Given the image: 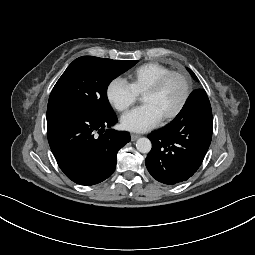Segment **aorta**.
<instances>
[{
    "instance_id": "obj_1",
    "label": "aorta",
    "mask_w": 255,
    "mask_h": 255,
    "mask_svg": "<svg viewBox=\"0 0 255 255\" xmlns=\"http://www.w3.org/2000/svg\"><path fill=\"white\" fill-rule=\"evenodd\" d=\"M151 147H152V144L148 138L142 137V138H139L136 142V148L141 153L150 152Z\"/></svg>"
}]
</instances>
